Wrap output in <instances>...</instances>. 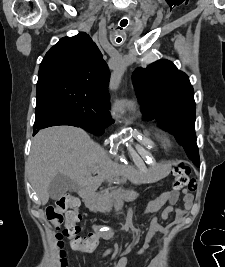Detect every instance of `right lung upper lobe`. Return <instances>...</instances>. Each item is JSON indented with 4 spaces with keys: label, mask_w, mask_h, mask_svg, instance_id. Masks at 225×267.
<instances>
[{
    "label": "right lung upper lobe",
    "mask_w": 225,
    "mask_h": 267,
    "mask_svg": "<svg viewBox=\"0 0 225 267\" xmlns=\"http://www.w3.org/2000/svg\"><path fill=\"white\" fill-rule=\"evenodd\" d=\"M110 72L96 44L86 33L64 37L45 55L38 80L60 77L92 87L109 99Z\"/></svg>",
    "instance_id": "cb5924a9"
}]
</instances>
